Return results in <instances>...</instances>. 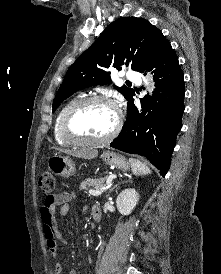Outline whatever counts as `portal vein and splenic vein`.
<instances>
[{
	"instance_id": "obj_1",
	"label": "portal vein and splenic vein",
	"mask_w": 221,
	"mask_h": 274,
	"mask_svg": "<svg viewBox=\"0 0 221 274\" xmlns=\"http://www.w3.org/2000/svg\"><path fill=\"white\" fill-rule=\"evenodd\" d=\"M114 178H116V175L109 176V178L107 179L105 187L100 188V189H95V190H89V193L91 195H94V196L101 195L110 186V184H111V182Z\"/></svg>"
}]
</instances>
